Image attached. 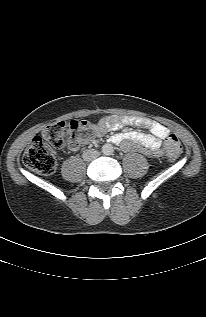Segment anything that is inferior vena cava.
<instances>
[{
    "instance_id": "obj_1",
    "label": "inferior vena cava",
    "mask_w": 206,
    "mask_h": 317,
    "mask_svg": "<svg viewBox=\"0 0 206 317\" xmlns=\"http://www.w3.org/2000/svg\"><path fill=\"white\" fill-rule=\"evenodd\" d=\"M99 156V152L97 150L91 149V150H86L83 153V159L85 161H92L96 159Z\"/></svg>"
}]
</instances>
